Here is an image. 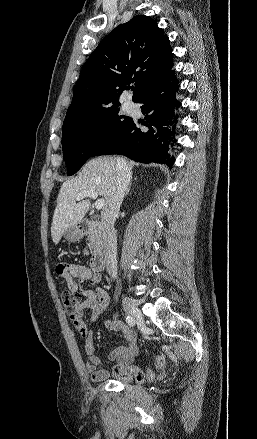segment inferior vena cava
<instances>
[{
  "label": "inferior vena cava",
  "mask_w": 257,
  "mask_h": 439,
  "mask_svg": "<svg viewBox=\"0 0 257 439\" xmlns=\"http://www.w3.org/2000/svg\"><path fill=\"white\" fill-rule=\"evenodd\" d=\"M116 167V180L101 213L104 240L103 254L107 272L112 278L117 277V237L114 223L119 213L127 186L132 178V173L124 159L118 158Z\"/></svg>",
  "instance_id": "602c4592"
}]
</instances>
